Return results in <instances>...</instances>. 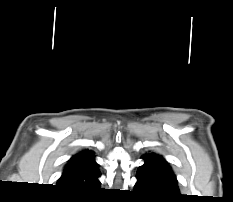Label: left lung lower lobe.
Returning a JSON list of instances; mask_svg holds the SVG:
<instances>
[{
  "mask_svg": "<svg viewBox=\"0 0 233 202\" xmlns=\"http://www.w3.org/2000/svg\"><path fill=\"white\" fill-rule=\"evenodd\" d=\"M134 191L153 202H176L181 198L179 188L171 183L154 178L144 171L137 172Z\"/></svg>",
  "mask_w": 233,
  "mask_h": 202,
  "instance_id": "left-lung-lower-lobe-1",
  "label": "left lung lower lobe"
}]
</instances>
